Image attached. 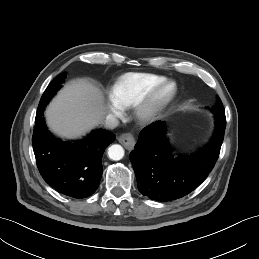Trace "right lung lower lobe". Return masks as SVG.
<instances>
[{
	"instance_id": "right-lung-lower-lobe-1",
	"label": "right lung lower lobe",
	"mask_w": 259,
	"mask_h": 259,
	"mask_svg": "<svg viewBox=\"0 0 259 259\" xmlns=\"http://www.w3.org/2000/svg\"><path fill=\"white\" fill-rule=\"evenodd\" d=\"M32 144L38 170L43 179L57 192L76 199L92 195L102 176V156L116 139L112 132L93 131L76 143L55 139L44 122L36 117Z\"/></svg>"
}]
</instances>
